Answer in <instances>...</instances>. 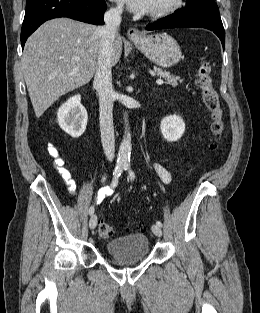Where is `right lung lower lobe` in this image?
Listing matches in <instances>:
<instances>
[{"label": "right lung lower lobe", "instance_id": "obj_1", "mask_svg": "<svg viewBox=\"0 0 260 313\" xmlns=\"http://www.w3.org/2000/svg\"><path fill=\"white\" fill-rule=\"evenodd\" d=\"M104 0H27L21 30L22 48L27 38L45 21L69 17L82 22L103 25Z\"/></svg>", "mask_w": 260, "mask_h": 313}]
</instances>
